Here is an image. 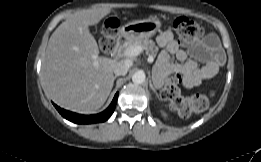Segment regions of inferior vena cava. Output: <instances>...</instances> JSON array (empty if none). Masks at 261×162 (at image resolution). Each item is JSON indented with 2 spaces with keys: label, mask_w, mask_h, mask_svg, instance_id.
<instances>
[{
  "label": "inferior vena cava",
  "mask_w": 261,
  "mask_h": 162,
  "mask_svg": "<svg viewBox=\"0 0 261 162\" xmlns=\"http://www.w3.org/2000/svg\"><path fill=\"white\" fill-rule=\"evenodd\" d=\"M131 65L132 63L130 61H118L114 64L113 72L118 76L126 75Z\"/></svg>",
  "instance_id": "inferior-vena-cava-1"
}]
</instances>
